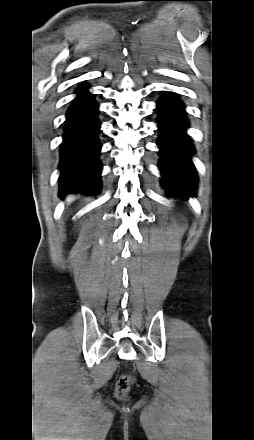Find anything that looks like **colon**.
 <instances>
[{
  "label": "colon",
  "instance_id": "5ec220e1",
  "mask_svg": "<svg viewBox=\"0 0 254 440\" xmlns=\"http://www.w3.org/2000/svg\"><path fill=\"white\" fill-rule=\"evenodd\" d=\"M134 383V379L130 375H122L116 382L115 395L118 398H124Z\"/></svg>",
  "mask_w": 254,
  "mask_h": 440
}]
</instances>
